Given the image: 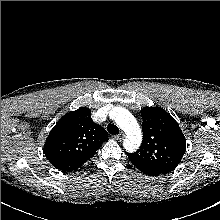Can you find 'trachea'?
I'll return each mask as SVG.
<instances>
[{"instance_id":"1","label":"trachea","mask_w":220,"mask_h":220,"mask_svg":"<svg viewBox=\"0 0 220 220\" xmlns=\"http://www.w3.org/2000/svg\"><path fill=\"white\" fill-rule=\"evenodd\" d=\"M107 130L110 134H113V135H116L119 133V129L115 124L108 125Z\"/></svg>"}]
</instances>
